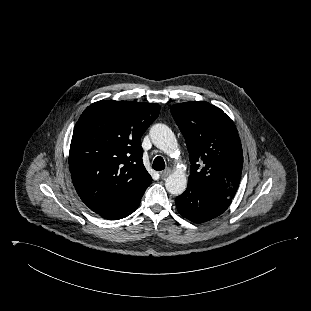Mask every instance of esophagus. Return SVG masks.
<instances>
[{
	"instance_id": "esophagus-1",
	"label": "esophagus",
	"mask_w": 311,
	"mask_h": 311,
	"mask_svg": "<svg viewBox=\"0 0 311 311\" xmlns=\"http://www.w3.org/2000/svg\"><path fill=\"white\" fill-rule=\"evenodd\" d=\"M170 173H171V169L167 168V169H165L164 171H161V172H160V176H161L162 178H166V177H168V176L170 175Z\"/></svg>"
}]
</instances>
